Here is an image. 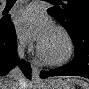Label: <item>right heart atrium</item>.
Here are the masks:
<instances>
[{
    "label": "right heart atrium",
    "mask_w": 89,
    "mask_h": 89,
    "mask_svg": "<svg viewBox=\"0 0 89 89\" xmlns=\"http://www.w3.org/2000/svg\"><path fill=\"white\" fill-rule=\"evenodd\" d=\"M23 45V42L22 41H19V46H22Z\"/></svg>",
    "instance_id": "obj_1"
}]
</instances>
